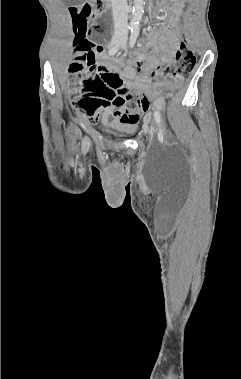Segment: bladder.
Listing matches in <instances>:
<instances>
[{"label":"bladder","mask_w":241,"mask_h":379,"mask_svg":"<svg viewBox=\"0 0 241 379\" xmlns=\"http://www.w3.org/2000/svg\"><path fill=\"white\" fill-rule=\"evenodd\" d=\"M108 131L115 137H125L128 134L125 129L117 127H111Z\"/></svg>","instance_id":"obj_1"}]
</instances>
